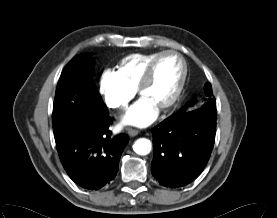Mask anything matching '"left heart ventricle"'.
Returning a JSON list of instances; mask_svg holds the SVG:
<instances>
[{
    "label": "left heart ventricle",
    "instance_id": "left-heart-ventricle-1",
    "mask_svg": "<svg viewBox=\"0 0 277 218\" xmlns=\"http://www.w3.org/2000/svg\"><path fill=\"white\" fill-rule=\"evenodd\" d=\"M182 64L174 55H167L156 65L154 76L142 95L150 99L158 108L166 103L178 86Z\"/></svg>",
    "mask_w": 277,
    "mask_h": 218
}]
</instances>
